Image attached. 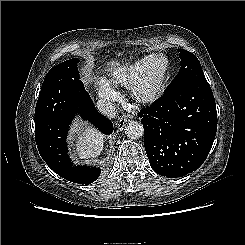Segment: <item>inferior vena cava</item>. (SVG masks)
I'll list each match as a JSON object with an SVG mask.
<instances>
[{"label": "inferior vena cava", "instance_id": "602c4592", "mask_svg": "<svg viewBox=\"0 0 245 245\" xmlns=\"http://www.w3.org/2000/svg\"><path fill=\"white\" fill-rule=\"evenodd\" d=\"M97 109L100 113H102L108 118H113L116 115L115 105L106 99L98 100Z\"/></svg>", "mask_w": 245, "mask_h": 245}]
</instances>
